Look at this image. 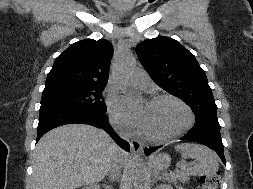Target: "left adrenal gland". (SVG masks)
I'll use <instances>...</instances> for the list:
<instances>
[{
	"label": "left adrenal gland",
	"instance_id": "a2214340",
	"mask_svg": "<svg viewBox=\"0 0 253 189\" xmlns=\"http://www.w3.org/2000/svg\"><path fill=\"white\" fill-rule=\"evenodd\" d=\"M155 179H160V176L158 173H155Z\"/></svg>",
	"mask_w": 253,
	"mask_h": 189
}]
</instances>
